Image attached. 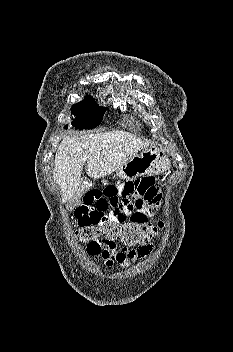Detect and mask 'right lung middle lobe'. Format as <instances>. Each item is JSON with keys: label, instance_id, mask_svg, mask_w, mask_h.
<instances>
[{"label": "right lung middle lobe", "instance_id": "dd1d6c3e", "mask_svg": "<svg viewBox=\"0 0 233 352\" xmlns=\"http://www.w3.org/2000/svg\"><path fill=\"white\" fill-rule=\"evenodd\" d=\"M106 109L97 105L92 97L87 96L72 106V114L76 116L72 125L79 129H92L101 123ZM64 128L67 129V125Z\"/></svg>", "mask_w": 233, "mask_h": 352}]
</instances>
